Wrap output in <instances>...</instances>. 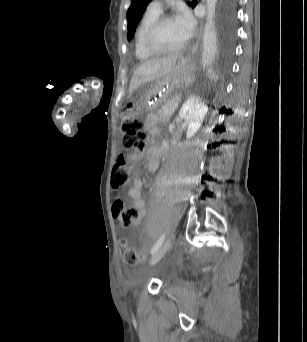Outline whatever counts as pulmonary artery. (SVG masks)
Returning <instances> with one entry per match:
<instances>
[{
    "label": "pulmonary artery",
    "mask_w": 307,
    "mask_h": 342,
    "mask_svg": "<svg viewBox=\"0 0 307 342\" xmlns=\"http://www.w3.org/2000/svg\"><path fill=\"white\" fill-rule=\"evenodd\" d=\"M164 1H149L148 7L157 12L160 13L162 11V4Z\"/></svg>",
    "instance_id": "e3ab8cb5"
}]
</instances>
